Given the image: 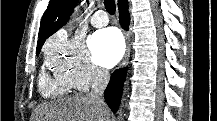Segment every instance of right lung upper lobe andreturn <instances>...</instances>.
Returning a JSON list of instances; mask_svg holds the SVG:
<instances>
[{"mask_svg":"<svg viewBox=\"0 0 217 121\" xmlns=\"http://www.w3.org/2000/svg\"><path fill=\"white\" fill-rule=\"evenodd\" d=\"M120 1L118 0V2ZM75 3L76 0H50L41 20L37 51L41 50L42 45L48 37L68 21Z\"/></svg>","mask_w":217,"mask_h":121,"instance_id":"1","label":"right lung upper lobe"}]
</instances>
